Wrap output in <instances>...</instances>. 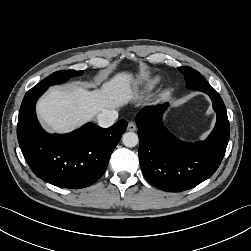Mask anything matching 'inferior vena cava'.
<instances>
[{"mask_svg":"<svg viewBox=\"0 0 251 251\" xmlns=\"http://www.w3.org/2000/svg\"><path fill=\"white\" fill-rule=\"evenodd\" d=\"M118 118V112L116 110H104L97 115L98 125L107 128L114 124Z\"/></svg>","mask_w":251,"mask_h":251,"instance_id":"602c4592","label":"inferior vena cava"}]
</instances>
